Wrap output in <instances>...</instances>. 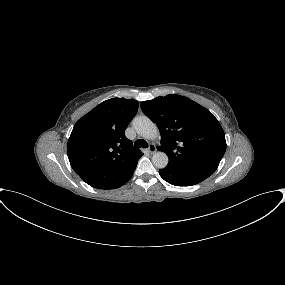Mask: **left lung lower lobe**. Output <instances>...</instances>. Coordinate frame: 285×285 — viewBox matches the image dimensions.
<instances>
[{"mask_svg":"<svg viewBox=\"0 0 285 285\" xmlns=\"http://www.w3.org/2000/svg\"><path fill=\"white\" fill-rule=\"evenodd\" d=\"M159 174L165 181L175 186H192L202 182L211 175L205 171L179 169L168 166L160 169Z\"/></svg>","mask_w":285,"mask_h":285,"instance_id":"obj_1","label":"left lung lower lobe"}]
</instances>
